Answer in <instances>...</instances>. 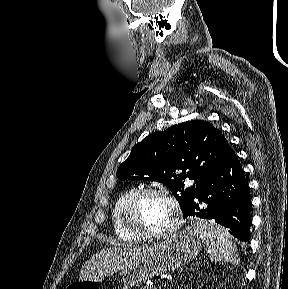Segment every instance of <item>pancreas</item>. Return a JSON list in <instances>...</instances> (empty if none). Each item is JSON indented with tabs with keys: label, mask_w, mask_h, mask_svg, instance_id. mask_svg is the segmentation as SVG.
<instances>
[{
	"label": "pancreas",
	"mask_w": 288,
	"mask_h": 289,
	"mask_svg": "<svg viewBox=\"0 0 288 289\" xmlns=\"http://www.w3.org/2000/svg\"><path fill=\"white\" fill-rule=\"evenodd\" d=\"M142 289H153L151 286H144Z\"/></svg>",
	"instance_id": "cf45deb5"
}]
</instances>
